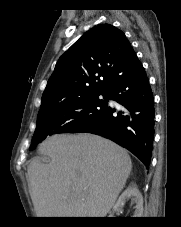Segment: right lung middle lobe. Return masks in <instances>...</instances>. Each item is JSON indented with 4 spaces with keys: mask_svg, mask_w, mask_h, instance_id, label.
I'll return each mask as SVG.
<instances>
[{
    "mask_svg": "<svg viewBox=\"0 0 181 227\" xmlns=\"http://www.w3.org/2000/svg\"><path fill=\"white\" fill-rule=\"evenodd\" d=\"M108 99V92L104 91L40 110L30 150L48 136L77 133L88 127L107 109Z\"/></svg>",
    "mask_w": 181,
    "mask_h": 227,
    "instance_id": "dd1d6c3e",
    "label": "right lung middle lobe"
}]
</instances>
